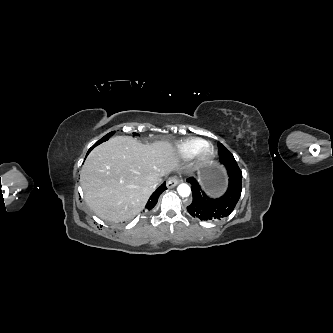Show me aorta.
Returning <instances> with one entry per match:
<instances>
[{
  "label": "aorta",
  "instance_id": "762f6f07",
  "mask_svg": "<svg viewBox=\"0 0 333 333\" xmlns=\"http://www.w3.org/2000/svg\"><path fill=\"white\" fill-rule=\"evenodd\" d=\"M177 191H178L179 195L182 197H187L191 193L190 187L185 183L180 184L177 188Z\"/></svg>",
  "mask_w": 333,
  "mask_h": 333
}]
</instances>
